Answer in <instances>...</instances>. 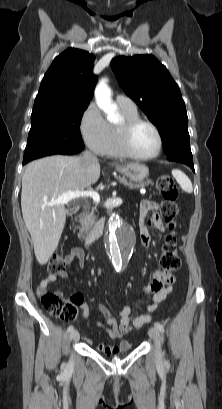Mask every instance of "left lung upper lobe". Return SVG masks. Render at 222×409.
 <instances>
[{
  "instance_id": "1",
  "label": "left lung upper lobe",
  "mask_w": 222,
  "mask_h": 409,
  "mask_svg": "<svg viewBox=\"0 0 222 409\" xmlns=\"http://www.w3.org/2000/svg\"><path fill=\"white\" fill-rule=\"evenodd\" d=\"M119 85L154 123L167 156L188 153V117L180 89L152 55L116 57L111 61Z\"/></svg>"
}]
</instances>
